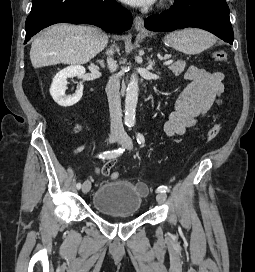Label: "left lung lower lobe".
Listing matches in <instances>:
<instances>
[{
    "instance_id": "1",
    "label": "left lung lower lobe",
    "mask_w": 255,
    "mask_h": 272,
    "mask_svg": "<svg viewBox=\"0 0 255 272\" xmlns=\"http://www.w3.org/2000/svg\"><path fill=\"white\" fill-rule=\"evenodd\" d=\"M151 31H173L186 27L207 30L220 39L233 43L229 7L225 0H175L170 10L145 20Z\"/></svg>"
}]
</instances>
